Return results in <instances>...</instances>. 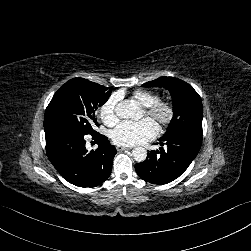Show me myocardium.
<instances>
[{
	"mask_svg": "<svg viewBox=\"0 0 251 251\" xmlns=\"http://www.w3.org/2000/svg\"><path fill=\"white\" fill-rule=\"evenodd\" d=\"M144 113L153 118L160 126H170L177 117V108L173 101L158 100L148 107H144Z\"/></svg>",
	"mask_w": 251,
	"mask_h": 251,
	"instance_id": "myocardium-1",
	"label": "myocardium"
}]
</instances>
